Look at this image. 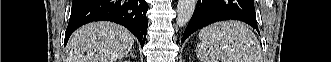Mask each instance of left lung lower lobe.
I'll use <instances>...</instances> for the list:
<instances>
[{"label": "left lung lower lobe", "mask_w": 331, "mask_h": 62, "mask_svg": "<svg viewBox=\"0 0 331 62\" xmlns=\"http://www.w3.org/2000/svg\"><path fill=\"white\" fill-rule=\"evenodd\" d=\"M222 20H240L258 29L253 0H198L181 42L193 32Z\"/></svg>", "instance_id": "left-lung-lower-lobe-1"}]
</instances>
